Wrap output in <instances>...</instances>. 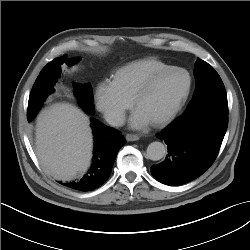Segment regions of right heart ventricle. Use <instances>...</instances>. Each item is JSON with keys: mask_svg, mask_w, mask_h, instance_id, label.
I'll return each mask as SVG.
<instances>
[{"mask_svg": "<svg viewBox=\"0 0 250 250\" xmlns=\"http://www.w3.org/2000/svg\"><path fill=\"white\" fill-rule=\"evenodd\" d=\"M171 65L154 57H146L126 63L111 75L114 87L128 98H134L141 85L155 72Z\"/></svg>", "mask_w": 250, "mask_h": 250, "instance_id": "right-heart-ventricle-1", "label": "right heart ventricle"}]
</instances>
